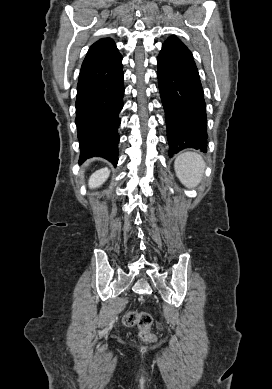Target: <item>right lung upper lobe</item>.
Instances as JSON below:
<instances>
[{
	"label": "right lung upper lobe",
	"instance_id": "cb5924a9",
	"mask_svg": "<svg viewBox=\"0 0 272 389\" xmlns=\"http://www.w3.org/2000/svg\"><path fill=\"white\" fill-rule=\"evenodd\" d=\"M117 55H119V52L113 40L110 38L100 39L88 50L81 69L100 64Z\"/></svg>",
	"mask_w": 272,
	"mask_h": 389
}]
</instances>
